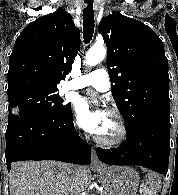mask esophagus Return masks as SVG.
Returning <instances> with one entry per match:
<instances>
[{
  "instance_id": "1",
  "label": "esophagus",
  "mask_w": 178,
  "mask_h": 195,
  "mask_svg": "<svg viewBox=\"0 0 178 195\" xmlns=\"http://www.w3.org/2000/svg\"><path fill=\"white\" fill-rule=\"evenodd\" d=\"M91 166L100 167L102 163L99 161L95 149H92Z\"/></svg>"
}]
</instances>
